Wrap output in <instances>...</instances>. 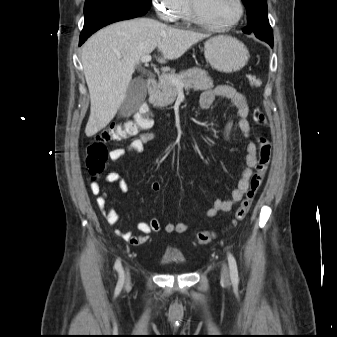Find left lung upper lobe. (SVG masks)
<instances>
[{"label":"left lung upper lobe","mask_w":337,"mask_h":337,"mask_svg":"<svg viewBox=\"0 0 337 337\" xmlns=\"http://www.w3.org/2000/svg\"><path fill=\"white\" fill-rule=\"evenodd\" d=\"M242 1L248 14V26L243 29V32L247 34L253 32L258 38L273 40V32L267 16L266 0Z\"/></svg>","instance_id":"obj_1"}]
</instances>
